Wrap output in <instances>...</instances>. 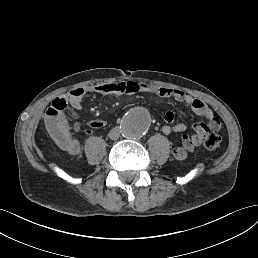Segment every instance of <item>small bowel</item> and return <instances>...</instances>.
Returning <instances> with one entry per match:
<instances>
[{"label": "small bowel", "instance_id": "c3829d8e", "mask_svg": "<svg viewBox=\"0 0 258 258\" xmlns=\"http://www.w3.org/2000/svg\"><path fill=\"white\" fill-rule=\"evenodd\" d=\"M88 93L113 96L134 93H150L162 98H172L176 101L182 102L197 116L203 117L205 121L195 123L193 125L194 132L189 135L186 133L187 125L185 123L180 122L173 124L174 114L172 112L166 111L162 114V118L165 122L162 126V132L165 135H170L172 133L181 134L182 145L173 149V156L177 160L185 159L188 153L193 152L198 146H200L209 130L218 131L221 126L212 110L202 100L181 90L133 81H121L116 83L98 84L90 87H79L54 99L45 115V124L51 139L60 149L70 155L79 154L81 148L78 140L71 132L70 124L64 110L67 107L80 110L82 108L83 98ZM87 124L92 129H100L105 127L107 122L103 119L92 118L88 120Z\"/></svg>", "mask_w": 258, "mask_h": 258}]
</instances>
